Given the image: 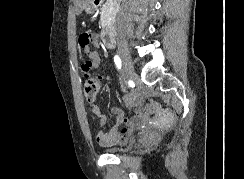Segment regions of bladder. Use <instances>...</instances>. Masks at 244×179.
<instances>
[{
	"label": "bladder",
	"instance_id": "31cf9c89",
	"mask_svg": "<svg viewBox=\"0 0 244 179\" xmlns=\"http://www.w3.org/2000/svg\"><path fill=\"white\" fill-rule=\"evenodd\" d=\"M105 151L109 154H114V152H119L121 150V148L118 147H114V148H104Z\"/></svg>",
	"mask_w": 244,
	"mask_h": 179
}]
</instances>
